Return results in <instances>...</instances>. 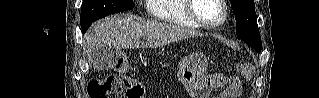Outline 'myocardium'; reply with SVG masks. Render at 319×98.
<instances>
[{
  "label": "myocardium",
  "instance_id": "1",
  "mask_svg": "<svg viewBox=\"0 0 319 98\" xmlns=\"http://www.w3.org/2000/svg\"><path fill=\"white\" fill-rule=\"evenodd\" d=\"M194 1L195 0H185V10L190 20L193 21L197 26L205 28V29L215 30L222 27L227 22L229 17V11H228V6L225 0H218L219 4L223 8V17L219 22L214 24L207 23L196 15V13L193 10Z\"/></svg>",
  "mask_w": 319,
  "mask_h": 98
}]
</instances>
